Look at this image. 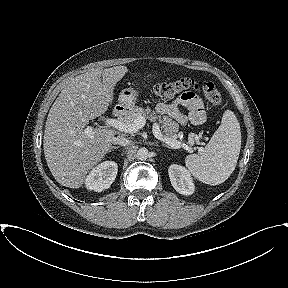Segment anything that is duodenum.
Here are the masks:
<instances>
[{
    "label": "duodenum",
    "mask_w": 288,
    "mask_h": 288,
    "mask_svg": "<svg viewBox=\"0 0 288 288\" xmlns=\"http://www.w3.org/2000/svg\"><path fill=\"white\" fill-rule=\"evenodd\" d=\"M125 110L122 107H117L113 110V116L114 117H120L124 114Z\"/></svg>",
    "instance_id": "obj_1"
}]
</instances>
